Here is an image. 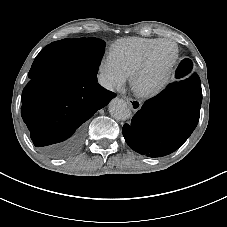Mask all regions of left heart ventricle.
I'll return each instance as SVG.
<instances>
[{"mask_svg": "<svg viewBox=\"0 0 227 227\" xmlns=\"http://www.w3.org/2000/svg\"><path fill=\"white\" fill-rule=\"evenodd\" d=\"M176 53L172 43H163L156 49L151 63L137 78L139 86L145 88L154 84L164 73Z\"/></svg>", "mask_w": 227, "mask_h": 227, "instance_id": "b2bd125f", "label": "left heart ventricle"}]
</instances>
